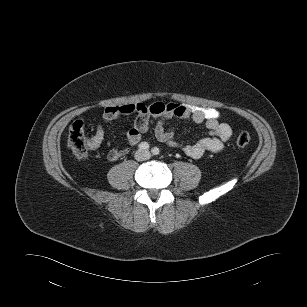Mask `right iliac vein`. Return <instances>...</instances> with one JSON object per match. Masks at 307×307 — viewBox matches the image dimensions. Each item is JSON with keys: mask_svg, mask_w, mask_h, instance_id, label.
Segmentation results:
<instances>
[{"mask_svg": "<svg viewBox=\"0 0 307 307\" xmlns=\"http://www.w3.org/2000/svg\"><path fill=\"white\" fill-rule=\"evenodd\" d=\"M141 155H142V153L139 152V153H138V156H141Z\"/></svg>", "mask_w": 307, "mask_h": 307, "instance_id": "right-iliac-vein-1", "label": "right iliac vein"}]
</instances>
